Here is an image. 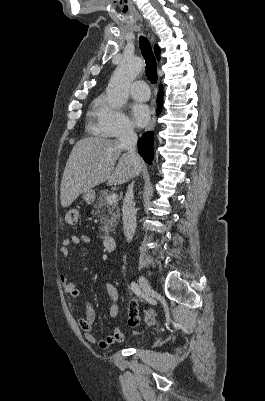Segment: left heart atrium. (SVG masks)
<instances>
[{
    "mask_svg": "<svg viewBox=\"0 0 265 401\" xmlns=\"http://www.w3.org/2000/svg\"><path fill=\"white\" fill-rule=\"evenodd\" d=\"M130 113L138 126L147 124L150 118V109L148 105L141 102H134L130 105Z\"/></svg>",
    "mask_w": 265,
    "mask_h": 401,
    "instance_id": "39dd6f15",
    "label": "left heart atrium"
}]
</instances>
